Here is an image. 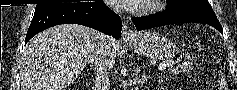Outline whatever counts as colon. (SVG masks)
<instances>
[{"label": "colon", "mask_w": 237, "mask_h": 90, "mask_svg": "<svg viewBox=\"0 0 237 90\" xmlns=\"http://www.w3.org/2000/svg\"><path fill=\"white\" fill-rule=\"evenodd\" d=\"M218 86L220 90H228V84L224 76H220L218 79Z\"/></svg>", "instance_id": "5ec220e1"}]
</instances>
